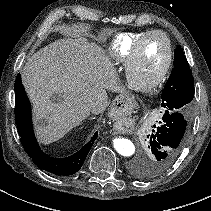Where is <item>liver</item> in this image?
Returning a JSON list of instances; mask_svg holds the SVG:
<instances>
[{"label":"liver","instance_id":"liver-1","mask_svg":"<svg viewBox=\"0 0 211 211\" xmlns=\"http://www.w3.org/2000/svg\"><path fill=\"white\" fill-rule=\"evenodd\" d=\"M22 80L33 104L36 136L43 144L61 139L90 112H104L106 89L125 92L107 56L86 38L59 39L40 49L28 58ZM53 95H58L57 102Z\"/></svg>","mask_w":211,"mask_h":211}]
</instances>
